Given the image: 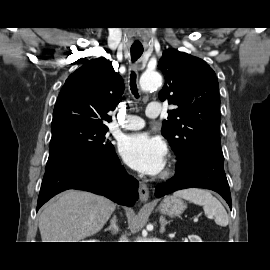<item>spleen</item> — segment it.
<instances>
[{"mask_svg":"<svg viewBox=\"0 0 270 270\" xmlns=\"http://www.w3.org/2000/svg\"><path fill=\"white\" fill-rule=\"evenodd\" d=\"M173 196L203 206V210L207 215L215 217V223L217 225L222 227L228 225L229 219L225 208L209 191L198 188H189L176 191Z\"/></svg>","mask_w":270,"mask_h":270,"instance_id":"spleen-1","label":"spleen"}]
</instances>
